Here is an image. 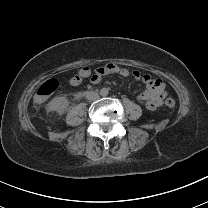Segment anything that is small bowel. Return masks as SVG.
I'll list each match as a JSON object with an SVG mask.
<instances>
[{
	"mask_svg": "<svg viewBox=\"0 0 208 208\" xmlns=\"http://www.w3.org/2000/svg\"><path fill=\"white\" fill-rule=\"evenodd\" d=\"M94 72L96 73L92 76V81L94 83H99L102 76L108 74H119L121 76L131 75L129 70L118 67L116 63H108L104 67H96ZM135 76L141 78L147 88L146 92L139 96V102L144 104L149 110H153L160 106L166 96L164 83L161 80L152 78L148 74L140 75L139 73H136Z\"/></svg>",
	"mask_w": 208,
	"mask_h": 208,
	"instance_id": "small-bowel-1",
	"label": "small bowel"
}]
</instances>
